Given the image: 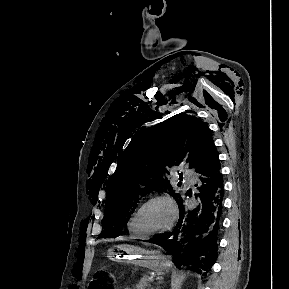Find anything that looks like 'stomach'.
I'll return each instance as SVG.
<instances>
[{
  "label": "stomach",
  "instance_id": "stomach-1",
  "mask_svg": "<svg viewBox=\"0 0 289 289\" xmlns=\"http://www.w3.org/2000/svg\"><path fill=\"white\" fill-rule=\"evenodd\" d=\"M107 257L116 262L133 264L155 272L168 269V260L160 252L149 251L138 246L122 244L108 249Z\"/></svg>",
  "mask_w": 289,
  "mask_h": 289
}]
</instances>
